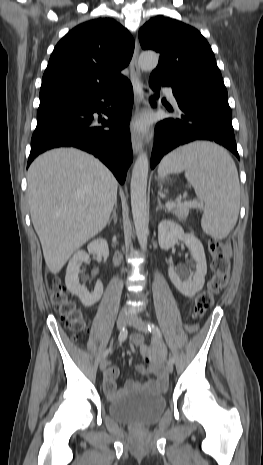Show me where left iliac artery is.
Returning a JSON list of instances; mask_svg holds the SVG:
<instances>
[{"mask_svg":"<svg viewBox=\"0 0 263 465\" xmlns=\"http://www.w3.org/2000/svg\"><path fill=\"white\" fill-rule=\"evenodd\" d=\"M147 325H148V330L157 338H161L162 337V334H161V331L160 329L158 328V326H156L154 323L148 321L147 322ZM169 361L171 363H174V358L173 356H169Z\"/></svg>","mask_w":263,"mask_h":465,"instance_id":"44dca946","label":"left iliac artery"}]
</instances>
